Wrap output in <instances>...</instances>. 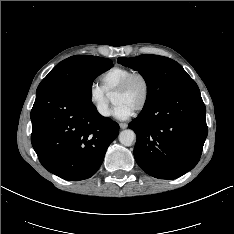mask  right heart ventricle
<instances>
[{
	"label": "right heart ventricle",
	"instance_id": "obj_1",
	"mask_svg": "<svg viewBox=\"0 0 234 234\" xmlns=\"http://www.w3.org/2000/svg\"><path fill=\"white\" fill-rule=\"evenodd\" d=\"M132 73H134V71L126 67H111L100 76L101 87L107 95H111Z\"/></svg>",
	"mask_w": 234,
	"mask_h": 234
}]
</instances>
